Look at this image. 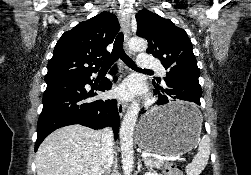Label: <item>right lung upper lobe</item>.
Instances as JSON below:
<instances>
[{"instance_id": "right-lung-upper-lobe-1", "label": "right lung upper lobe", "mask_w": 251, "mask_h": 175, "mask_svg": "<svg viewBox=\"0 0 251 175\" xmlns=\"http://www.w3.org/2000/svg\"><path fill=\"white\" fill-rule=\"evenodd\" d=\"M118 30L117 17L104 11L65 32L54 48L45 81L81 78L96 72L99 62L109 55L106 47Z\"/></svg>"}]
</instances>
